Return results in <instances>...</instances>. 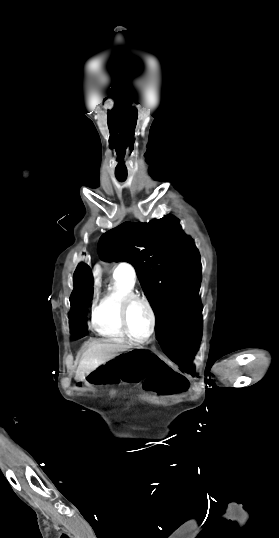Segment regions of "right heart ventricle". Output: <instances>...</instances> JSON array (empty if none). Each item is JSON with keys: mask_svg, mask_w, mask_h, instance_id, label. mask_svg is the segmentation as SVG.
I'll return each mask as SVG.
<instances>
[{"mask_svg": "<svg viewBox=\"0 0 279 538\" xmlns=\"http://www.w3.org/2000/svg\"><path fill=\"white\" fill-rule=\"evenodd\" d=\"M92 234V232L88 233V236ZM134 283L124 276L113 275L110 288L93 302L90 322L97 333L109 338H126L120 325L118 313L122 300L133 293Z\"/></svg>", "mask_w": 279, "mask_h": 538, "instance_id": "right-heart-ventricle-1", "label": "right heart ventricle"}]
</instances>
